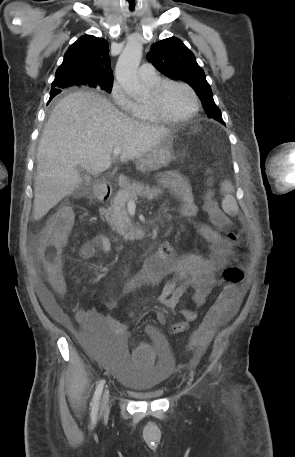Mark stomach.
I'll list each match as a JSON object with an SVG mask.
<instances>
[{"mask_svg":"<svg viewBox=\"0 0 295 457\" xmlns=\"http://www.w3.org/2000/svg\"><path fill=\"white\" fill-rule=\"evenodd\" d=\"M174 136L171 134L165 138L157 147L146 155L136 160V167L139 171L149 172L168 165L176 159L174 151Z\"/></svg>","mask_w":295,"mask_h":457,"instance_id":"0dacf381","label":"stomach"}]
</instances>
